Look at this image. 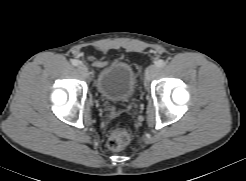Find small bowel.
Wrapping results in <instances>:
<instances>
[{"label": "small bowel", "instance_id": "c3829d8e", "mask_svg": "<svg viewBox=\"0 0 246 181\" xmlns=\"http://www.w3.org/2000/svg\"><path fill=\"white\" fill-rule=\"evenodd\" d=\"M105 64L104 61H100V60H94V65L97 67V68H101L103 67Z\"/></svg>", "mask_w": 246, "mask_h": 181}]
</instances>
